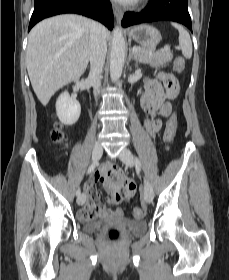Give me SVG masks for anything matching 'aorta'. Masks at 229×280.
<instances>
[{
	"label": "aorta",
	"mask_w": 229,
	"mask_h": 280,
	"mask_svg": "<svg viewBox=\"0 0 229 280\" xmlns=\"http://www.w3.org/2000/svg\"><path fill=\"white\" fill-rule=\"evenodd\" d=\"M126 46L120 27H115L111 42L110 52V77L112 82H116L122 75Z\"/></svg>",
	"instance_id": "obj_1"
}]
</instances>
